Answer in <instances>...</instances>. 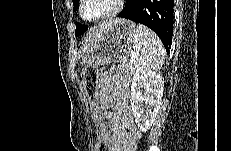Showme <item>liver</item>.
Here are the masks:
<instances>
[{
    "label": "liver",
    "mask_w": 231,
    "mask_h": 151,
    "mask_svg": "<svg viewBox=\"0 0 231 151\" xmlns=\"http://www.w3.org/2000/svg\"><path fill=\"white\" fill-rule=\"evenodd\" d=\"M120 19L106 21L97 27H95L89 36L85 39L84 44L81 48L82 53H85L95 42H97L101 35L105 32L106 28L109 27L114 22H119Z\"/></svg>",
    "instance_id": "1"
}]
</instances>
